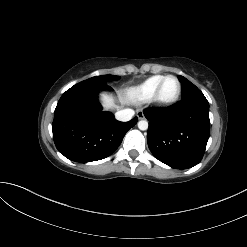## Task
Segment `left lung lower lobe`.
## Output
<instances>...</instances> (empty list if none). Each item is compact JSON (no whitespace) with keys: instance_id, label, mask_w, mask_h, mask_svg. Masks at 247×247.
I'll return each instance as SVG.
<instances>
[{"instance_id":"obj_1","label":"left lung lower lobe","mask_w":247,"mask_h":247,"mask_svg":"<svg viewBox=\"0 0 247 247\" xmlns=\"http://www.w3.org/2000/svg\"><path fill=\"white\" fill-rule=\"evenodd\" d=\"M148 146L159 161L176 169L197 165L210 135L209 103L199 89L168 108L145 109Z\"/></svg>"}]
</instances>
